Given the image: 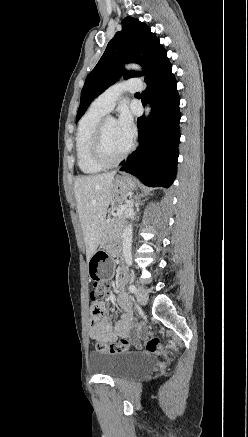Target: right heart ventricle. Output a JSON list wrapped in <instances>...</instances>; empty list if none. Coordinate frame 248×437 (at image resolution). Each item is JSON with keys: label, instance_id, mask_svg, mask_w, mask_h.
Listing matches in <instances>:
<instances>
[{"label": "right heart ventricle", "instance_id": "obj_1", "mask_svg": "<svg viewBox=\"0 0 248 437\" xmlns=\"http://www.w3.org/2000/svg\"><path fill=\"white\" fill-rule=\"evenodd\" d=\"M105 114L91 106L79 121L75 146L78 167L84 174H97L103 170L93 159L91 147L96 128Z\"/></svg>", "mask_w": 248, "mask_h": 437}]
</instances>
